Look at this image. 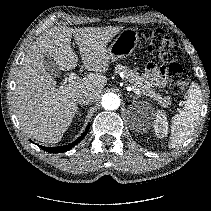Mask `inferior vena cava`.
<instances>
[{"label": "inferior vena cava", "instance_id": "602c4592", "mask_svg": "<svg viewBox=\"0 0 211 211\" xmlns=\"http://www.w3.org/2000/svg\"><path fill=\"white\" fill-rule=\"evenodd\" d=\"M94 99H95V96H94V94L93 93H91V92H82V93H80L79 95H78V97H77V102L79 103V104H90V103H92L93 101H94Z\"/></svg>", "mask_w": 211, "mask_h": 211}]
</instances>
